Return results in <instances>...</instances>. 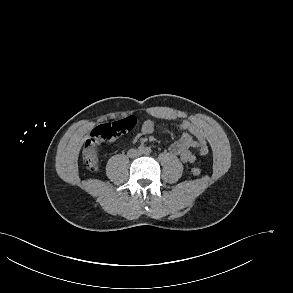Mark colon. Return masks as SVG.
Masks as SVG:
<instances>
[{
  "label": "colon",
  "mask_w": 293,
  "mask_h": 293,
  "mask_svg": "<svg viewBox=\"0 0 293 293\" xmlns=\"http://www.w3.org/2000/svg\"><path fill=\"white\" fill-rule=\"evenodd\" d=\"M135 127V120L128 117L112 124H103L96 127L90 138L87 140L83 149V163L90 171H96L99 168V148L102 144L112 143L121 137L125 132L132 130ZM191 173L194 176L201 174V169L193 167Z\"/></svg>",
  "instance_id": "obj_1"
}]
</instances>
